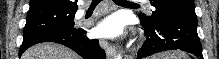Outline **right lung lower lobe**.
Wrapping results in <instances>:
<instances>
[{"mask_svg":"<svg viewBox=\"0 0 219 59\" xmlns=\"http://www.w3.org/2000/svg\"><path fill=\"white\" fill-rule=\"evenodd\" d=\"M41 42H55L65 45L84 59H105V51L98 40H90L83 28L49 29L23 36L19 56L32 45Z\"/></svg>","mask_w":219,"mask_h":59,"instance_id":"1","label":"right lung lower lobe"}]
</instances>
